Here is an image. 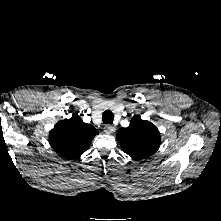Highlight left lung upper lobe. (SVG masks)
Wrapping results in <instances>:
<instances>
[{
  "label": "left lung upper lobe",
  "mask_w": 221,
  "mask_h": 221,
  "mask_svg": "<svg viewBox=\"0 0 221 221\" xmlns=\"http://www.w3.org/2000/svg\"><path fill=\"white\" fill-rule=\"evenodd\" d=\"M117 140L130 157L143 159L158 150L160 133L155 125L136 115L131 119L129 127L119 129Z\"/></svg>",
  "instance_id": "obj_1"
}]
</instances>
